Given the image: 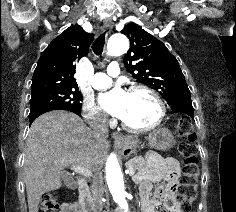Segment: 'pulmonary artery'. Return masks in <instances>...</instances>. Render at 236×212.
<instances>
[{
  "instance_id": "1",
  "label": "pulmonary artery",
  "mask_w": 236,
  "mask_h": 212,
  "mask_svg": "<svg viewBox=\"0 0 236 212\" xmlns=\"http://www.w3.org/2000/svg\"><path fill=\"white\" fill-rule=\"evenodd\" d=\"M120 74L119 64L111 63L107 68V73H96L93 77V87L96 89L107 88L112 83V78Z\"/></svg>"
}]
</instances>
